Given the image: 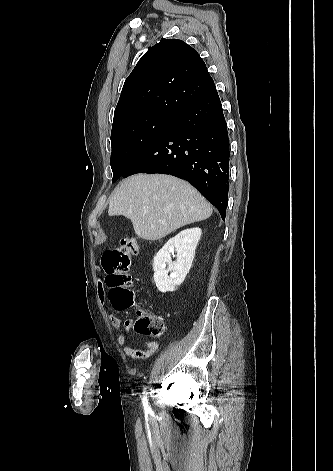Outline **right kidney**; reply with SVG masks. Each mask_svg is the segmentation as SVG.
I'll use <instances>...</instances> for the list:
<instances>
[{"instance_id":"1","label":"right kidney","mask_w":333,"mask_h":471,"mask_svg":"<svg viewBox=\"0 0 333 471\" xmlns=\"http://www.w3.org/2000/svg\"><path fill=\"white\" fill-rule=\"evenodd\" d=\"M200 237V228L186 229L168 240L158 251L154 257L153 268L154 282L160 292H173L184 281L191 268ZM174 252L177 259L172 262L171 254Z\"/></svg>"}]
</instances>
